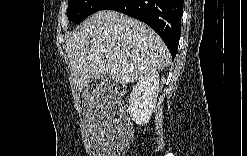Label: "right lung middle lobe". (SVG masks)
<instances>
[{
    "label": "right lung middle lobe",
    "mask_w": 247,
    "mask_h": 156,
    "mask_svg": "<svg viewBox=\"0 0 247 156\" xmlns=\"http://www.w3.org/2000/svg\"><path fill=\"white\" fill-rule=\"evenodd\" d=\"M108 0H68V19L81 22L89 15L97 12Z\"/></svg>",
    "instance_id": "1"
}]
</instances>
